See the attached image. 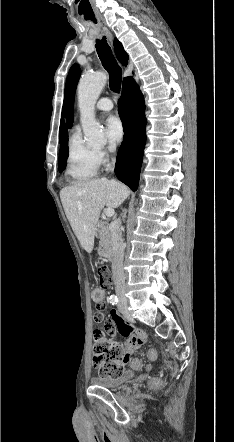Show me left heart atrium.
Here are the masks:
<instances>
[{
  "mask_svg": "<svg viewBox=\"0 0 234 442\" xmlns=\"http://www.w3.org/2000/svg\"><path fill=\"white\" fill-rule=\"evenodd\" d=\"M106 133L112 145L119 143L124 137L122 121L117 116H110L106 120Z\"/></svg>",
  "mask_w": 234,
  "mask_h": 442,
  "instance_id": "obj_1",
  "label": "left heart atrium"
}]
</instances>
